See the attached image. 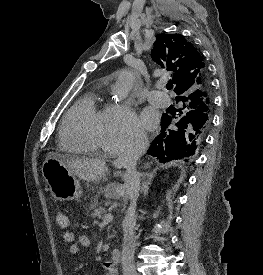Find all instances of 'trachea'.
Returning <instances> with one entry per match:
<instances>
[{
  "mask_svg": "<svg viewBox=\"0 0 263 275\" xmlns=\"http://www.w3.org/2000/svg\"><path fill=\"white\" fill-rule=\"evenodd\" d=\"M172 82H168L166 85L167 90H171L172 89Z\"/></svg>",
  "mask_w": 263,
  "mask_h": 275,
  "instance_id": "trachea-1",
  "label": "trachea"
}]
</instances>
